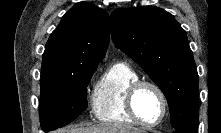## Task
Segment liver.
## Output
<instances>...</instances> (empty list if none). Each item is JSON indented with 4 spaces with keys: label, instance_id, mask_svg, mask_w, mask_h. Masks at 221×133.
I'll return each instance as SVG.
<instances>
[{
    "label": "liver",
    "instance_id": "6515ba94",
    "mask_svg": "<svg viewBox=\"0 0 221 133\" xmlns=\"http://www.w3.org/2000/svg\"><path fill=\"white\" fill-rule=\"evenodd\" d=\"M56 133H142L141 130L120 123H100L91 127H67Z\"/></svg>",
    "mask_w": 221,
    "mask_h": 133
}]
</instances>
